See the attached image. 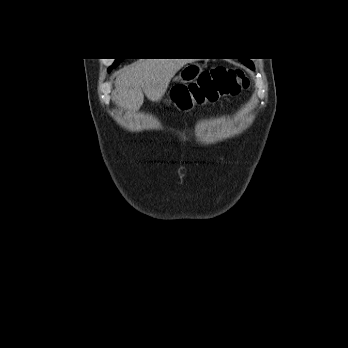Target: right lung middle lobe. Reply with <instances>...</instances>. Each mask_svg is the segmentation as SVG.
<instances>
[{
    "instance_id": "obj_1",
    "label": "right lung middle lobe",
    "mask_w": 348,
    "mask_h": 348,
    "mask_svg": "<svg viewBox=\"0 0 348 348\" xmlns=\"http://www.w3.org/2000/svg\"><path fill=\"white\" fill-rule=\"evenodd\" d=\"M123 59H116L115 63L109 68V71L116 67Z\"/></svg>"
}]
</instances>
